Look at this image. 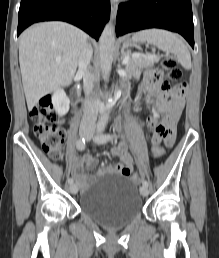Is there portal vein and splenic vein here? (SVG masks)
I'll return each mask as SVG.
<instances>
[{
    "label": "portal vein and splenic vein",
    "mask_w": 219,
    "mask_h": 258,
    "mask_svg": "<svg viewBox=\"0 0 219 258\" xmlns=\"http://www.w3.org/2000/svg\"><path fill=\"white\" fill-rule=\"evenodd\" d=\"M156 55H148V56H145V55H138V58H145V59H153L155 58ZM129 62V57H126L124 60H123V64L126 65L127 63Z\"/></svg>",
    "instance_id": "18ae733b"
}]
</instances>
